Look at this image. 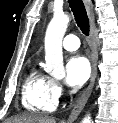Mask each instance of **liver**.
<instances>
[{
    "mask_svg": "<svg viewBox=\"0 0 118 123\" xmlns=\"http://www.w3.org/2000/svg\"><path fill=\"white\" fill-rule=\"evenodd\" d=\"M4 123H56L54 118L36 114H24L7 119Z\"/></svg>",
    "mask_w": 118,
    "mask_h": 123,
    "instance_id": "obj_1",
    "label": "liver"
}]
</instances>
